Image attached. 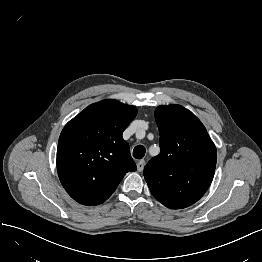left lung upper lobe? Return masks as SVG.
Returning a JSON list of instances; mask_svg holds the SVG:
<instances>
[{"instance_id": "5c2ea615", "label": "left lung upper lobe", "mask_w": 262, "mask_h": 262, "mask_svg": "<svg viewBox=\"0 0 262 262\" xmlns=\"http://www.w3.org/2000/svg\"><path fill=\"white\" fill-rule=\"evenodd\" d=\"M155 118L161 152L145 166L144 178L160 203L182 209L198 201L209 188L216 147L201 121L181 105H161Z\"/></svg>"}]
</instances>
